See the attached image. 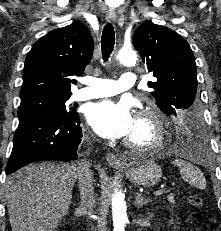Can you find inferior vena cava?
<instances>
[{
	"label": "inferior vena cava",
	"instance_id": "1",
	"mask_svg": "<svg viewBox=\"0 0 221 231\" xmlns=\"http://www.w3.org/2000/svg\"><path fill=\"white\" fill-rule=\"evenodd\" d=\"M77 178L81 197L80 209L84 213H90L95 201L92 173L89 169V163L86 161L78 166Z\"/></svg>",
	"mask_w": 221,
	"mask_h": 231
}]
</instances>
